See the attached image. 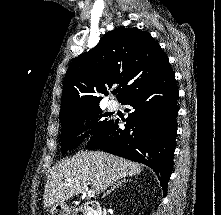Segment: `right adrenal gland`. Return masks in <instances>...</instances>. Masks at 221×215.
Listing matches in <instances>:
<instances>
[{
    "instance_id": "2a0ac1e0",
    "label": "right adrenal gland",
    "mask_w": 221,
    "mask_h": 215,
    "mask_svg": "<svg viewBox=\"0 0 221 215\" xmlns=\"http://www.w3.org/2000/svg\"><path fill=\"white\" fill-rule=\"evenodd\" d=\"M123 183H126V179L117 181L116 183L112 184L110 189L106 191V193L103 194V197L107 196L108 194H110L113 190H115V188H119L122 186Z\"/></svg>"
}]
</instances>
